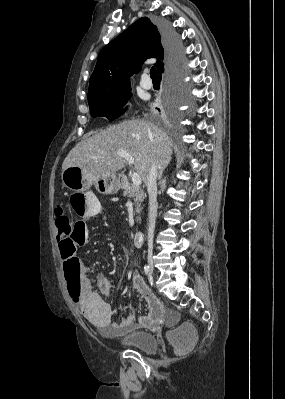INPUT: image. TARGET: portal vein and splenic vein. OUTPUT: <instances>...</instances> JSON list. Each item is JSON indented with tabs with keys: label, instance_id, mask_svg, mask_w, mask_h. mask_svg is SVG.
Listing matches in <instances>:
<instances>
[{
	"label": "portal vein and splenic vein",
	"instance_id": "portal-vein-and-splenic-vein-1",
	"mask_svg": "<svg viewBox=\"0 0 285 399\" xmlns=\"http://www.w3.org/2000/svg\"><path fill=\"white\" fill-rule=\"evenodd\" d=\"M117 155H118L119 157L125 158V160H126L129 164H131V165L134 164V159H133L132 156L129 155L126 151H118V152H117ZM131 179H132L133 185H135V186H140L141 183H142V182H141V177H140V175H139L137 172H133V174H132V176H131Z\"/></svg>",
	"mask_w": 285,
	"mask_h": 399
}]
</instances>
